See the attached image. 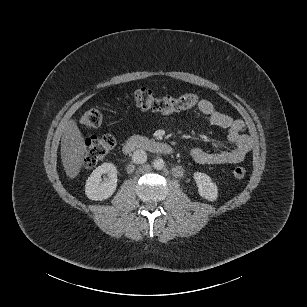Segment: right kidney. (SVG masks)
<instances>
[{
    "label": "right kidney",
    "mask_w": 307,
    "mask_h": 307,
    "mask_svg": "<svg viewBox=\"0 0 307 307\" xmlns=\"http://www.w3.org/2000/svg\"><path fill=\"white\" fill-rule=\"evenodd\" d=\"M108 174V178L102 181L103 174ZM118 186L116 166L112 163H104L97 167L87 179L85 184V194L92 201H104L111 198Z\"/></svg>",
    "instance_id": "ca27d5eb"
}]
</instances>
